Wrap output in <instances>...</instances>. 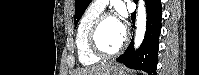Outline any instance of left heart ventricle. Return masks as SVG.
Listing matches in <instances>:
<instances>
[{"instance_id":"1","label":"left heart ventricle","mask_w":199,"mask_h":75,"mask_svg":"<svg viewBox=\"0 0 199 75\" xmlns=\"http://www.w3.org/2000/svg\"><path fill=\"white\" fill-rule=\"evenodd\" d=\"M124 32L119 28L115 18L106 19L99 31L98 40L106 51L115 50L123 41Z\"/></svg>"}]
</instances>
